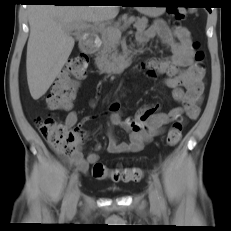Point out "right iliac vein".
I'll return each instance as SVG.
<instances>
[{"label":"right iliac vein","instance_id":"1","mask_svg":"<svg viewBox=\"0 0 231 231\" xmlns=\"http://www.w3.org/2000/svg\"><path fill=\"white\" fill-rule=\"evenodd\" d=\"M79 197H80V189H79V185L76 184L72 190L69 203L67 205L68 212L70 213L75 212Z\"/></svg>","mask_w":231,"mask_h":231}]
</instances>
